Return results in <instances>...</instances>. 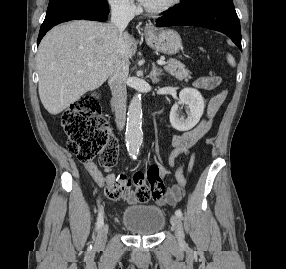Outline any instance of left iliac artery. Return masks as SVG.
I'll return each mask as SVG.
<instances>
[{
  "instance_id": "obj_1",
  "label": "left iliac artery",
  "mask_w": 286,
  "mask_h": 269,
  "mask_svg": "<svg viewBox=\"0 0 286 269\" xmlns=\"http://www.w3.org/2000/svg\"><path fill=\"white\" fill-rule=\"evenodd\" d=\"M175 214H176V216H178V217H182V211L180 210V209H177L176 211H175Z\"/></svg>"
}]
</instances>
